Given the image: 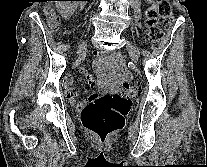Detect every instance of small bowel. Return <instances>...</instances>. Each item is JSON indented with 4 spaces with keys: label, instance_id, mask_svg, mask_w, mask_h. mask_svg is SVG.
<instances>
[{
    "label": "small bowel",
    "instance_id": "obj_1",
    "mask_svg": "<svg viewBox=\"0 0 207 167\" xmlns=\"http://www.w3.org/2000/svg\"><path fill=\"white\" fill-rule=\"evenodd\" d=\"M80 72L86 76L89 85L93 88H96L100 94L105 93L106 91L113 89L116 90L120 86V82L129 80L131 78L130 71L123 65L120 67L112 66L110 72V79L107 80L105 78H101L98 82H96L91 75L88 74L87 70L83 67L80 68ZM73 78L68 76L65 79V91L69 101L77 105L79 108L83 109L88 104L94 102L99 93L92 95L88 99L77 101L78 92L72 87Z\"/></svg>",
    "mask_w": 207,
    "mask_h": 167
}]
</instances>
